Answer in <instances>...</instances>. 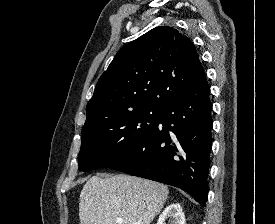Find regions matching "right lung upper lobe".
Segmentation results:
<instances>
[{
	"instance_id": "right-lung-upper-lobe-1",
	"label": "right lung upper lobe",
	"mask_w": 275,
	"mask_h": 224,
	"mask_svg": "<svg viewBox=\"0 0 275 224\" xmlns=\"http://www.w3.org/2000/svg\"><path fill=\"white\" fill-rule=\"evenodd\" d=\"M203 73L187 37L172 27H156L118 51L87 104L83 129L131 111L163 110Z\"/></svg>"
}]
</instances>
